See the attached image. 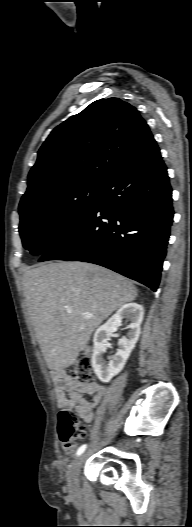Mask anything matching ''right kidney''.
I'll list each match as a JSON object with an SVG mask.
<instances>
[{"label":"right kidney","mask_w":192,"mask_h":527,"mask_svg":"<svg viewBox=\"0 0 192 527\" xmlns=\"http://www.w3.org/2000/svg\"><path fill=\"white\" fill-rule=\"evenodd\" d=\"M143 315L144 309L141 305L128 303L123 305L104 325L96 330L93 337L94 349L91 362L100 381L109 382L124 368L139 338ZM123 318L130 321V324L127 325V329H129L127 337L119 340V350L109 362H106L103 359V354L108 345V338L120 326Z\"/></svg>","instance_id":"right-kidney-1"}]
</instances>
